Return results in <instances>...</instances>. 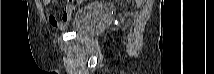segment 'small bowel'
I'll return each mask as SVG.
<instances>
[{
	"label": "small bowel",
	"instance_id": "small-bowel-1",
	"mask_svg": "<svg viewBox=\"0 0 214 74\" xmlns=\"http://www.w3.org/2000/svg\"><path fill=\"white\" fill-rule=\"evenodd\" d=\"M52 2H55V1H52ZM50 3H51L50 1H42V5L46 10L47 19H48L49 24L52 27L59 29V30L66 28V26L71 18L74 5L72 3H67L64 6L63 10L60 12L59 17H56L55 15L49 14L47 12V8L49 7Z\"/></svg>",
	"mask_w": 214,
	"mask_h": 74
}]
</instances>
